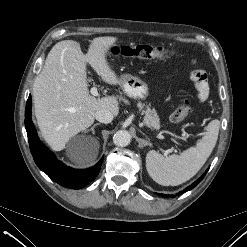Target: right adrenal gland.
<instances>
[{
  "label": "right adrenal gland",
  "instance_id": "1",
  "mask_svg": "<svg viewBox=\"0 0 247 247\" xmlns=\"http://www.w3.org/2000/svg\"><path fill=\"white\" fill-rule=\"evenodd\" d=\"M98 125H100V123L94 124L89 130H87V132H88V131H91L92 134H95V127L98 126Z\"/></svg>",
  "mask_w": 247,
  "mask_h": 247
}]
</instances>
